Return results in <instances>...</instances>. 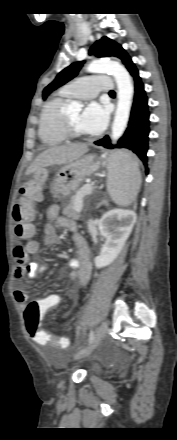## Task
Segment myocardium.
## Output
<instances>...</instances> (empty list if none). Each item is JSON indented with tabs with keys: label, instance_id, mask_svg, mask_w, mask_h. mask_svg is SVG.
<instances>
[{
	"label": "myocardium",
	"instance_id": "f54148a6",
	"mask_svg": "<svg viewBox=\"0 0 177 440\" xmlns=\"http://www.w3.org/2000/svg\"><path fill=\"white\" fill-rule=\"evenodd\" d=\"M62 123H63V129L66 135L67 139H78V138H82L83 134H81L80 132H78L72 122L70 121V119L67 116L66 112H63L62 115Z\"/></svg>",
	"mask_w": 177,
	"mask_h": 440
}]
</instances>
